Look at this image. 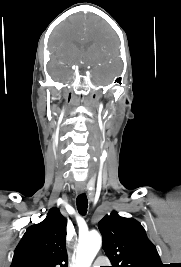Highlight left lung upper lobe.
I'll use <instances>...</instances> for the list:
<instances>
[{
    "mask_svg": "<svg viewBox=\"0 0 181 267\" xmlns=\"http://www.w3.org/2000/svg\"><path fill=\"white\" fill-rule=\"evenodd\" d=\"M98 228L111 267H163L156 247L135 219L113 211L98 223Z\"/></svg>",
    "mask_w": 181,
    "mask_h": 267,
    "instance_id": "obj_1",
    "label": "left lung upper lobe"
}]
</instances>
